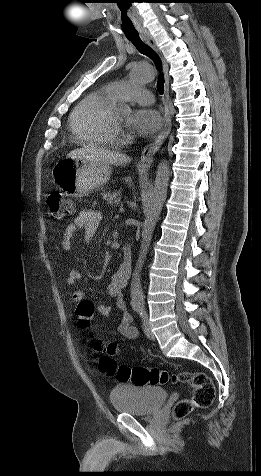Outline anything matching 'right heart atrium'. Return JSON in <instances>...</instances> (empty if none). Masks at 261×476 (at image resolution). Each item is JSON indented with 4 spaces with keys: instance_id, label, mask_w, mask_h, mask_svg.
<instances>
[{
    "instance_id": "right-heart-atrium-1",
    "label": "right heart atrium",
    "mask_w": 261,
    "mask_h": 476,
    "mask_svg": "<svg viewBox=\"0 0 261 476\" xmlns=\"http://www.w3.org/2000/svg\"><path fill=\"white\" fill-rule=\"evenodd\" d=\"M116 134H118V135H123V131H122L121 129L117 128Z\"/></svg>"
}]
</instances>
